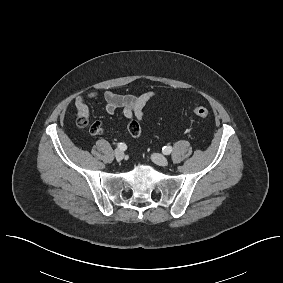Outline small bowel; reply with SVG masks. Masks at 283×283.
<instances>
[{"label": "small bowel", "mask_w": 283, "mask_h": 283, "mask_svg": "<svg viewBox=\"0 0 283 283\" xmlns=\"http://www.w3.org/2000/svg\"><path fill=\"white\" fill-rule=\"evenodd\" d=\"M155 92L148 91L141 94H122L106 90L102 94L91 92L79 95L75 105L77 113L81 117L89 115V102L102 99L105 110L109 114L115 113L118 109L122 110L124 117L129 121L126 131L133 137H139L142 133L140 122L143 119L145 105L155 97Z\"/></svg>", "instance_id": "c3829d8e"}]
</instances>
